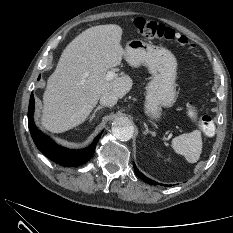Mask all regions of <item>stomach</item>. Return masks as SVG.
Masks as SVG:
<instances>
[{
    "label": "stomach",
    "instance_id": "stomach-1",
    "mask_svg": "<svg viewBox=\"0 0 233 233\" xmlns=\"http://www.w3.org/2000/svg\"><path fill=\"white\" fill-rule=\"evenodd\" d=\"M125 58L132 67L147 66L152 74L147 86L145 113L159 119L162 107L171 106L176 98V58L168 49L139 39L127 42Z\"/></svg>",
    "mask_w": 233,
    "mask_h": 233
}]
</instances>
